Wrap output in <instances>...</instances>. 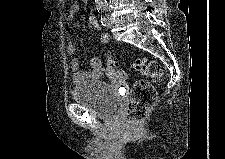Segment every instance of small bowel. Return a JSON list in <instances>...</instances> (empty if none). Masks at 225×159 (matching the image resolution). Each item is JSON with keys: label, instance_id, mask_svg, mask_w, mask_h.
Here are the masks:
<instances>
[{"label": "small bowel", "instance_id": "small-bowel-1", "mask_svg": "<svg viewBox=\"0 0 225 159\" xmlns=\"http://www.w3.org/2000/svg\"><path fill=\"white\" fill-rule=\"evenodd\" d=\"M79 7L74 4L69 9V18L74 17L78 13ZM89 24L94 28L98 29L97 21L95 16L90 15L88 19ZM100 41L102 44L106 45L109 43L110 38L106 33H100ZM75 52L74 44L69 41L67 44V53L73 56ZM70 69L73 72L72 80L75 85H79L85 81L97 80L102 77H108L111 80H117L116 78L108 75L106 67L103 65L102 61L98 57H92L90 60V70L80 71L79 62L76 58H71L69 62Z\"/></svg>", "mask_w": 225, "mask_h": 159}]
</instances>
